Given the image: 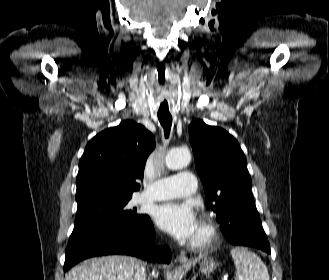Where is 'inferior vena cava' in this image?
I'll use <instances>...</instances> for the list:
<instances>
[{
  "label": "inferior vena cava",
  "instance_id": "obj_1",
  "mask_svg": "<svg viewBox=\"0 0 329 280\" xmlns=\"http://www.w3.org/2000/svg\"><path fill=\"white\" fill-rule=\"evenodd\" d=\"M140 280H146V273H143Z\"/></svg>",
  "mask_w": 329,
  "mask_h": 280
}]
</instances>
